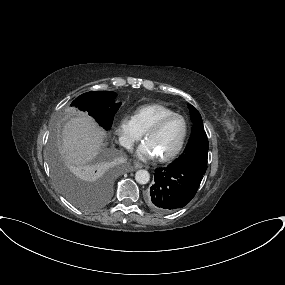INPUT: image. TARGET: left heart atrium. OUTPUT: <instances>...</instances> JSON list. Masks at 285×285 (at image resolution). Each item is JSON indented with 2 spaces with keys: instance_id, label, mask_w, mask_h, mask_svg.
Here are the masks:
<instances>
[{
  "instance_id": "obj_1",
  "label": "left heart atrium",
  "mask_w": 285,
  "mask_h": 285,
  "mask_svg": "<svg viewBox=\"0 0 285 285\" xmlns=\"http://www.w3.org/2000/svg\"><path fill=\"white\" fill-rule=\"evenodd\" d=\"M136 156L140 160H149L157 155L151 144L148 141H144L136 150Z\"/></svg>"
}]
</instances>
